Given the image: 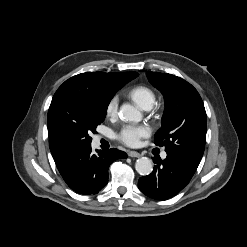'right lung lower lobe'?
I'll return each instance as SVG.
<instances>
[{
    "label": "right lung lower lobe",
    "mask_w": 247,
    "mask_h": 247,
    "mask_svg": "<svg viewBox=\"0 0 247 247\" xmlns=\"http://www.w3.org/2000/svg\"><path fill=\"white\" fill-rule=\"evenodd\" d=\"M93 154L91 145L77 148L61 162L57 168L67 185L80 194H96L108 180L110 164L118 158H127V154L112 148Z\"/></svg>",
    "instance_id": "98d812e1"
}]
</instances>
